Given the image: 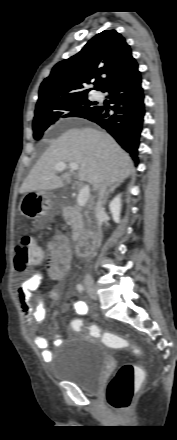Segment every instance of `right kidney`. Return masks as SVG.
<instances>
[{"instance_id":"obj_1","label":"right kidney","mask_w":177,"mask_h":440,"mask_svg":"<svg viewBox=\"0 0 177 440\" xmlns=\"http://www.w3.org/2000/svg\"><path fill=\"white\" fill-rule=\"evenodd\" d=\"M113 220L116 223L120 222V212H121V195H117L109 205Z\"/></svg>"}]
</instances>
